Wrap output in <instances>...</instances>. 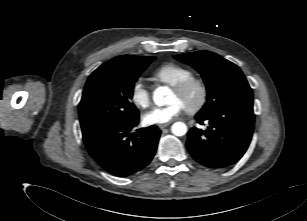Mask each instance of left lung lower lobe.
I'll return each mask as SVG.
<instances>
[{
  "mask_svg": "<svg viewBox=\"0 0 307 221\" xmlns=\"http://www.w3.org/2000/svg\"><path fill=\"white\" fill-rule=\"evenodd\" d=\"M197 122L208 123L205 130L188 132L186 147L191 156L209 168H226L246 152L254 128L253 106L233 105L212 113H198Z\"/></svg>",
  "mask_w": 307,
  "mask_h": 221,
  "instance_id": "left-lung-lower-lobe-1",
  "label": "left lung lower lobe"
}]
</instances>
